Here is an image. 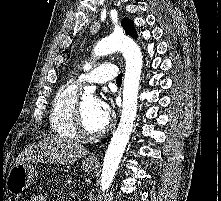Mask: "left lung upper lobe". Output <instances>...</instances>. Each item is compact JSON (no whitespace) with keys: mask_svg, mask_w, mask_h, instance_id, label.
Wrapping results in <instances>:
<instances>
[{"mask_svg":"<svg viewBox=\"0 0 221 201\" xmlns=\"http://www.w3.org/2000/svg\"><path fill=\"white\" fill-rule=\"evenodd\" d=\"M122 27L125 29L126 33L134 38H137V33L134 27V22L128 18L122 20Z\"/></svg>","mask_w":221,"mask_h":201,"instance_id":"1","label":"left lung upper lobe"}]
</instances>
